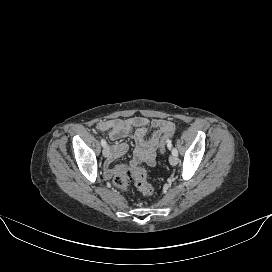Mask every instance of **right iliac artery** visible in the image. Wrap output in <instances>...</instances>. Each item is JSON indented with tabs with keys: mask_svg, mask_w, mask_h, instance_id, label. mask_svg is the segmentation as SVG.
<instances>
[{
	"mask_svg": "<svg viewBox=\"0 0 272 272\" xmlns=\"http://www.w3.org/2000/svg\"><path fill=\"white\" fill-rule=\"evenodd\" d=\"M101 145H102L103 147L106 146V141H105V139H101Z\"/></svg>",
	"mask_w": 272,
	"mask_h": 272,
	"instance_id": "right-iliac-artery-1",
	"label": "right iliac artery"
}]
</instances>
